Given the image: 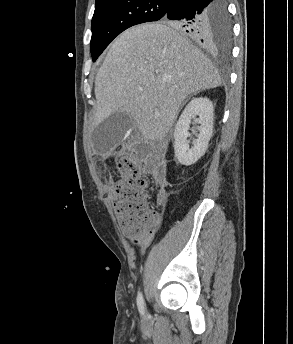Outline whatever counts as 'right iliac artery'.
<instances>
[{
    "instance_id": "82829eb1",
    "label": "right iliac artery",
    "mask_w": 293,
    "mask_h": 344,
    "mask_svg": "<svg viewBox=\"0 0 293 344\" xmlns=\"http://www.w3.org/2000/svg\"><path fill=\"white\" fill-rule=\"evenodd\" d=\"M137 305H138V309L140 311L141 314L145 313V304H144V299L141 293L138 294L137 296Z\"/></svg>"
}]
</instances>
